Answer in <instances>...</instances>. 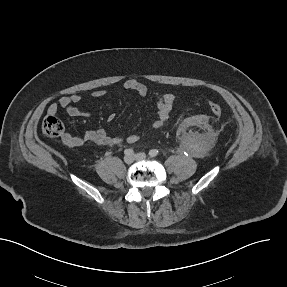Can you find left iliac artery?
<instances>
[{
	"mask_svg": "<svg viewBox=\"0 0 287 287\" xmlns=\"http://www.w3.org/2000/svg\"><path fill=\"white\" fill-rule=\"evenodd\" d=\"M158 153H159V151L157 149H152V150L149 151V156L150 157H155V156L158 155Z\"/></svg>",
	"mask_w": 287,
	"mask_h": 287,
	"instance_id": "1",
	"label": "left iliac artery"
}]
</instances>
